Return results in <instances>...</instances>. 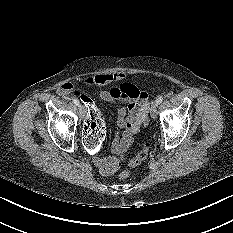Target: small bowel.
I'll use <instances>...</instances> for the list:
<instances>
[{"mask_svg": "<svg viewBox=\"0 0 233 233\" xmlns=\"http://www.w3.org/2000/svg\"><path fill=\"white\" fill-rule=\"evenodd\" d=\"M124 77L125 75L121 72L101 74L87 78L85 83L88 86L103 87L121 82ZM57 92L61 96L78 94L71 83L62 84ZM99 96L103 101L109 103H122L117 109L118 130L111 145L112 152L121 155L133 142L134 135L140 130L143 118L148 114V94L131 83L123 82L109 90H101ZM93 161L104 176L112 175L120 168V162L115 157L94 156Z\"/></svg>", "mask_w": 233, "mask_h": 233, "instance_id": "1", "label": "small bowel"}]
</instances>
